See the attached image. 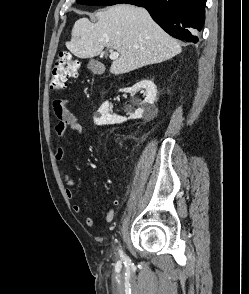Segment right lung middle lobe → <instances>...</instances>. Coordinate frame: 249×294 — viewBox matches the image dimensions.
I'll list each match as a JSON object with an SVG mask.
<instances>
[{"label":"right lung middle lobe","instance_id":"right-lung-middle-lobe-1","mask_svg":"<svg viewBox=\"0 0 249 294\" xmlns=\"http://www.w3.org/2000/svg\"><path fill=\"white\" fill-rule=\"evenodd\" d=\"M120 0H77L79 4H86V5H114L119 3Z\"/></svg>","mask_w":249,"mask_h":294}]
</instances>
